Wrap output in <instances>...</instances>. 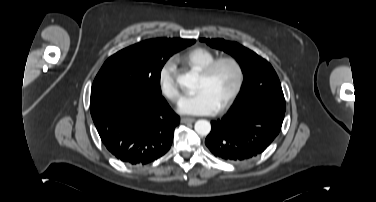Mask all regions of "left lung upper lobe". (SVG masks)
Instances as JSON below:
<instances>
[{
  "label": "left lung upper lobe",
  "instance_id": "5c2ea615",
  "mask_svg": "<svg viewBox=\"0 0 376 202\" xmlns=\"http://www.w3.org/2000/svg\"><path fill=\"white\" fill-rule=\"evenodd\" d=\"M200 41L231 54L241 66L244 74L241 98L232 111H240L253 104H264L285 111L281 84L270 63L236 42L205 38Z\"/></svg>",
  "mask_w": 376,
  "mask_h": 202
}]
</instances>
